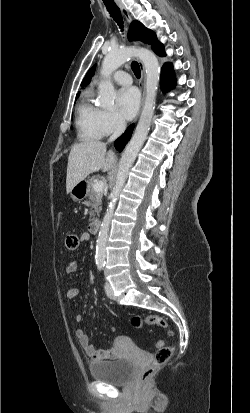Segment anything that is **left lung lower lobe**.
<instances>
[{
    "label": "left lung lower lobe",
    "mask_w": 250,
    "mask_h": 413,
    "mask_svg": "<svg viewBox=\"0 0 250 413\" xmlns=\"http://www.w3.org/2000/svg\"><path fill=\"white\" fill-rule=\"evenodd\" d=\"M159 56H165L164 50L155 51ZM174 86V74L171 63H165L161 70V87L163 90L170 89Z\"/></svg>",
    "instance_id": "obj_1"
}]
</instances>
